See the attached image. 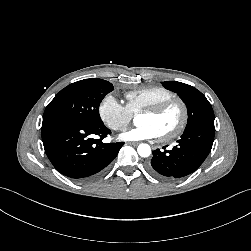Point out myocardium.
<instances>
[{
    "label": "myocardium",
    "instance_id": "1",
    "mask_svg": "<svg viewBox=\"0 0 251 251\" xmlns=\"http://www.w3.org/2000/svg\"><path fill=\"white\" fill-rule=\"evenodd\" d=\"M173 106H177L180 109L181 112L180 121L172 131L159 135V138L162 141H171L180 136L185 130L189 119V112L186 103L183 100L174 97L159 104L147 107L140 111V113H146L157 116L164 113Z\"/></svg>",
    "mask_w": 251,
    "mask_h": 251
}]
</instances>
